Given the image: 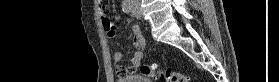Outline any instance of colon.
<instances>
[{"label":"colon","mask_w":279,"mask_h":82,"mask_svg":"<svg viewBox=\"0 0 279 82\" xmlns=\"http://www.w3.org/2000/svg\"><path fill=\"white\" fill-rule=\"evenodd\" d=\"M103 22L110 23L111 21L105 16L103 12ZM140 73L146 77L158 79L166 82H186V77L178 72L160 68L157 65H144L140 68Z\"/></svg>","instance_id":"5ec220e1"}]
</instances>
